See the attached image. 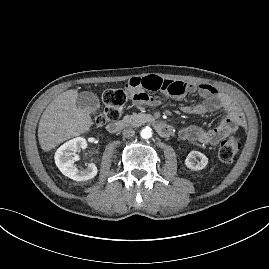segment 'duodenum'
I'll list each match as a JSON object with an SVG mask.
<instances>
[{"label":"duodenum","mask_w":269,"mask_h":269,"mask_svg":"<svg viewBox=\"0 0 269 269\" xmlns=\"http://www.w3.org/2000/svg\"><path fill=\"white\" fill-rule=\"evenodd\" d=\"M145 121L153 125L156 131L163 137H168L173 132L172 127L169 124L157 121L152 117H147ZM127 125L128 122L126 121H115L107 125V130L110 133H117Z\"/></svg>","instance_id":"1"}]
</instances>
